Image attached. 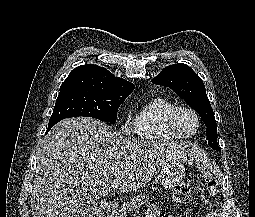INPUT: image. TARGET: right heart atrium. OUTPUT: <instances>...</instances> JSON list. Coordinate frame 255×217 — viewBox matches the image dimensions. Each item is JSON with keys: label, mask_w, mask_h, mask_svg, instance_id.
Returning a JSON list of instances; mask_svg holds the SVG:
<instances>
[{"label": "right heart atrium", "mask_w": 255, "mask_h": 217, "mask_svg": "<svg viewBox=\"0 0 255 217\" xmlns=\"http://www.w3.org/2000/svg\"><path fill=\"white\" fill-rule=\"evenodd\" d=\"M122 132L125 134H130L133 130V127L128 121H124L121 126Z\"/></svg>", "instance_id": "right-heart-atrium-1"}]
</instances>
